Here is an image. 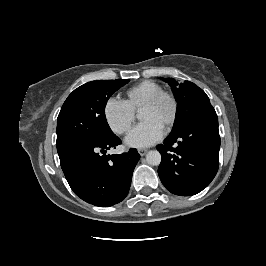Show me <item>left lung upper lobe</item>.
<instances>
[{
  "instance_id": "obj_1",
  "label": "left lung upper lobe",
  "mask_w": 266,
  "mask_h": 266,
  "mask_svg": "<svg viewBox=\"0 0 266 266\" xmlns=\"http://www.w3.org/2000/svg\"><path fill=\"white\" fill-rule=\"evenodd\" d=\"M162 80L169 83L177 100V111L174 125L171 131L175 133L196 115L212 108L206 93L190 81L178 84L174 79Z\"/></svg>"
}]
</instances>
